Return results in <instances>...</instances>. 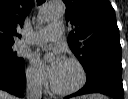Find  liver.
Returning <instances> with one entry per match:
<instances>
[{
	"label": "liver",
	"mask_w": 128,
	"mask_h": 99,
	"mask_svg": "<svg viewBox=\"0 0 128 99\" xmlns=\"http://www.w3.org/2000/svg\"><path fill=\"white\" fill-rule=\"evenodd\" d=\"M87 97H83V99H86ZM90 99H106L105 96L99 95V94H93L89 96ZM0 99H16L14 96L8 94L5 91L0 90Z\"/></svg>",
	"instance_id": "liver-1"
}]
</instances>
